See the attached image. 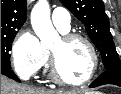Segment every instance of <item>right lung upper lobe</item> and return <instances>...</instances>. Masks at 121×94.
Segmentation results:
<instances>
[{
	"label": "right lung upper lobe",
	"mask_w": 121,
	"mask_h": 94,
	"mask_svg": "<svg viewBox=\"0 0 121 94\" xmlns=\"http://www.w3.org/2000/svg\"><path fill=\"white\" fill-rule=\"evenodd\" d=\"M25 20V0H1V34L19 30Z\"/></svg>",
	"instance_id": "1"
}]
</instances>
